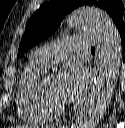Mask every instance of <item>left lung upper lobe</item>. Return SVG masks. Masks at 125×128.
<instances>
[{
	"label": "left lung upper lobe",
	"mask_w": 125,
	"mask_h": 128,
	"mask_svg": "<svg viewBox=\"0 0 125 128\" xmlns=\"http://www.w3.org/2000/svg\"><path fill=\"white\" fill-rule=\"evenodd\" d=\"M83 5L105 10L116 26L123 22L125 9L122 0H52L42 4L30 18L19 45L18 57L53 33L65 14Z\"/></svg>",
	"instance_id": "5c2ea615"
}]
</instances>
